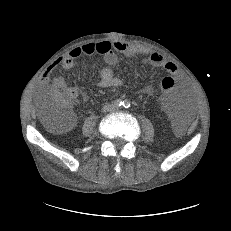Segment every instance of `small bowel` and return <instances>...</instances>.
I'll return each instance as SVG.
<instances>
[{"label": "small bowel", "instance_id": "1", "mask_svg": "<svg viewBox=\"0 0 231 231\" xmlns=\"http://www.w3.org/2000/svg\"><path fill=\"white\" fill-rule=\"evenodd\" d=\"M143 53H148V51L143 48L135 47L119 41H100L96 43H88L72 49L68 54L58 59L50 69H53L57 66L69 69L75 65L76 59L82 55L100 54L103 56L106 66L100 72V81L98 82L97 86L101 88L120 87L124 85V81L120 77L116 76L112 69L118 61V54L125 56H135L137 54ZM148 60L151 65L163 68L171 76L176 78L180 76V72L177 66L173 62L167 61L160 53L149 52ZM49 82V76L46 75L43 80V84L48 85ZM58 86H62L61 81L54 82L52 84V89ZM80 95L84 101L88 99L87 93L81 92ZM170 99L171 97L168 95V93L162 97L161 101L165 110L168 109Z\"/></svg>", "mask_w": 231, "mask_h": 231}]
</instances>
